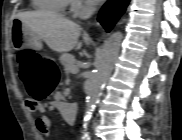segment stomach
Returning <instances> with one entry per match:
<instances>
[{
  "mask_svg": "<svg viewBox=\"0 0 182 140\" xmlns=\"http://www.w3.org/2000/svg\"><path fill=\"white\" fill-rule=\"evenodd\" d=\"M11 34L12 44L17 49L41 47V38L35 34V31L28 30L20 19L13 21Z\"/></svg>",
  "mask_w": 182,
  "mask_h": 140,
  "instance_id": "stomach-1",
  "label": "stomach"
}]
</instances>
